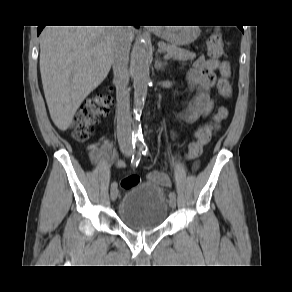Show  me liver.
<instances>
[{
  "mask_svg": "<svg viewBox=\"0 0 292 292\" xmlns=\"http://www.w3.org/2000/svg\"><path fill=\"white\" fill-rule=\"evenodd\" d=\"M131 41L133 29L129 31ZM117 26H46L40 73L52 121L65 131L84 99L107 77Z\"/></svg>",
  "mask_w": 292,
  "mask_h": 292,
  "instance_id": "liver-1",
  "label": "liver"
}]
</instances>
